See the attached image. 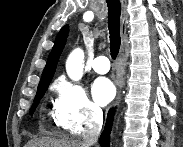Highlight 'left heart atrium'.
<instances>
[{"mask_svg":"<svg viewBox=\"0 0 183 147\" xmlns=\"http://www.w3.org/2000/svg\"><path fill=\"white\" fill-rule=\"evenodd\" d=\"M91 90L94 101L100 106L108 104L115 95L114 84L105 77L97 78L93 82Z\"/></svg>","mask_w":183,"mask_h":147,"instance_id":"39dd6f15","label":"left heart atrium"}]
</instances>
